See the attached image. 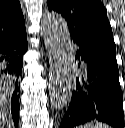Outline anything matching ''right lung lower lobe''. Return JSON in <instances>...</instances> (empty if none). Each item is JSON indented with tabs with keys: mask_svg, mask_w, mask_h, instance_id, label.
Returning <instances> with one entry per match:
<instances>
[{
	"mask_svg": "<svg viewBox=\"0 0 125 128\" xmlns=\"http://www.w3.org/2000/svg\"><path fill=\"white\" fill-rule=\"evenodd\" d=\"M27 47L26 30L0 41V81L2 76L5 77V85L12 94L11 114L16 127L20 109L18 79L23 66L22 57L27 51Z\"/></svg>",
	"mask_w": 125,
	"mask_h": 128,
	"instance_id": "obj_1",
	"label": "right lung lower lobe"
}]
</instances>
